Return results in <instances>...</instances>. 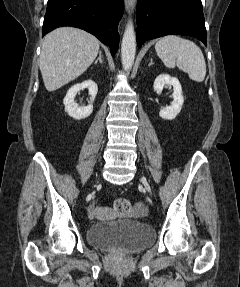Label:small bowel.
<instances>
[{
	"label": "small bowel",
	"instance_id": "1",
	"mask_svg": "<svg viewBox=\"0 0 240 287\" xmlns=\"http://www.w3.org/2000/svg\"><path fill=\"white\" fill-rule=\"evenodd\" d=\"M133 211L140 212L143 214L146 211V206L142 202H137L134 204ZM89 215L91 218H109L113 216L112 212L109 209L98 207L95 205H92L90 207Z\"/></svg>",
	"mask_w": 240,
	"mask_h": 287
}]
</instances>
